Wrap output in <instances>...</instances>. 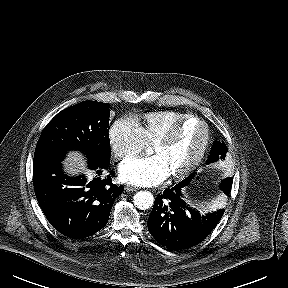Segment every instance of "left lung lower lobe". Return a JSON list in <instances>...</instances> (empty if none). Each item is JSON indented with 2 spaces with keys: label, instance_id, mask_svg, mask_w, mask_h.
I'll return each instance as SVG.
<instances>
[{
  "label": "left lung lower lobe",
  "instance_id": "left-lung-lower-lobe-1",
  "mask_svg": "<svg viewBox=\"0 0 288 288\" xmlns=\"http://www.w3.org/2000/svg\"><path fill=\"white\" fill-rule=\"evenodd\" d=\"M181 181L173 188L158 194L148 219V230L154 239L169 250L191 248L203 241L216 227L224 210L201 216L182 199ZM227 195L230 191L223 190Z\"/></svg>",
  "mask_w": 288,
  "mask_h": 288
}]
</instances>
